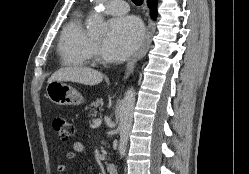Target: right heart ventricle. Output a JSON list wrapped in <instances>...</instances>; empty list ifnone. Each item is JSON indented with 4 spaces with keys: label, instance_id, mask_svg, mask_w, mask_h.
I'll use <instances>...</instances> for the list:
<instances>
[{
    "label": "right heart ventricle",
    "instance_id": "right-heart-ventricle-1",
    "mask_svg": "<svg viewBox=\"0 0 249 174\" xmlns=\"http://www.w3.org/2000/svg\"><path fill=\"white\" fill-rule=\"evenodd\" d=\"M92 40L84 27V17L75 15L64 27L58 51L64 64L86 66L91 59Z\"/></svg>",
    "mask_w": 249,
    "mask_h": 174
}]
</instances>
